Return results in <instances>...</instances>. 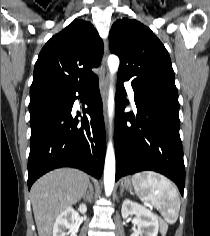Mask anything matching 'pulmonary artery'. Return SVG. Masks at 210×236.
<instances>
[{
    "mask_svg": "<svg viewBox=\"0 0 210 236\" xmlns=\"http://www.w3.org/2000/svg\"><path fill=\"white\" fill-rule=\"evenodd\" d=\"M131 101L134 103V90L129 82H125Z\"/></svg>",
    "mask_w": 210,
    "mask_h": 236,
    "instance_id": "obj_1",
    "label": "pulmonary artery"
}]
</instances>
